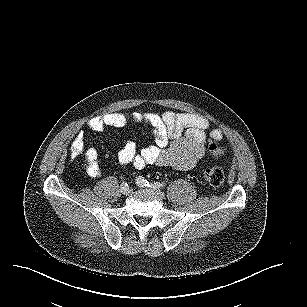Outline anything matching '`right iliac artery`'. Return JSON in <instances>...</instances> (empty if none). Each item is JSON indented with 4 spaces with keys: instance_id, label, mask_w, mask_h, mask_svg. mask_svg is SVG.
<instances>
[{
    "instance_id": "obj_1",
    "label": "right iliac artery",
    "mask_w": 307,
    "mask_h": 307,
    "mask_svg": "<svg viewBox=\"0 0 307 307\" xmlns=\"http://www.w3.org/2000/svg\"><path fill=\"white\" fill-rule=\"evenodd\" d=\"M126 186H128V184L127 183H122V185H121V187H126Z\"/></svg>"
}]
</instances>
